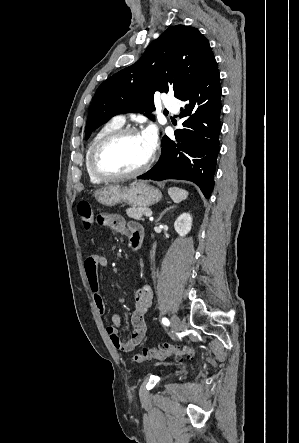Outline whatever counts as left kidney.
Instances as JSON below:
<instances>
[{
  "instance_id": "obj_1",
  "label": "left kidney",
  "mask_w": 299,
  "mask_h": 443,
  "mask_svg": "<svg viewBox=\"0 0 299 443\" xmlns=\"http://www.w3.org/2000/svg\"><path fill=\"white\" fill-rule=\"evenodd\" d=\"M175 231L181 236H186L192 228V216L189 213L181 214L174 223Z\"/></svg>"
}]
</instances>
